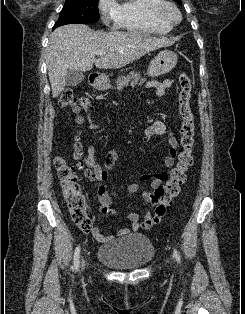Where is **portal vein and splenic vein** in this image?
Listing matches in <instances>:
<instances>
[{
	"label": "portal vein and splenic vein",
	"instance_id": "obj_1",
	"mask_svg": "<svg viewBox=\"0 0 245 314\" xmlns=\"http://www.w3.org/2000/svg\"><path fill=\"white\" fill-rule=\"evenodd\" d=\"M96 54L100 55V56H103V55H105V52L104 51H98Z\"/></svg>",
	"mask_w": 245,
	"mask_h": 314
}]
</instances>
